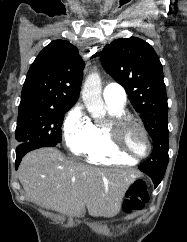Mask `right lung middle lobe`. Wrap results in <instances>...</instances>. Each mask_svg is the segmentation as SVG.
<instances>
[{
    "label": "right lung middle lobe",
    "instance_id": "1",
    "mask_svg": "<svg viewBox=\"0 0 187 242\" xmlns=\"http://www.w3.org/2000/svg\"><path fill=\"white\" fill-rule=\"evenodd\" d=\"M69 109H19L16 140L59 147L64 114Z\"/></svg>",
    "mask_w": 187,
    "mask_h": 242
}]
</instances>
